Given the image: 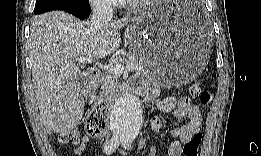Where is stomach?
I'll list each match as a JSON object with an SVG mask.
<instances>
[{
    "mask_svg": "<svg viewBox=\"0 0 261 156\" xmlns=\"http://www.w3.org/2000/svg\"><path fill=\"white\" fill-rule=\"evenodd\" d=\"M190 2H157L132 19L131 46L142 55L162 84L194 80L211 54L207 30L185 16Z\"/></svg>",
    "mask_w": 261,
    "mask_h": 156,
    "instance_id": "0dacf381",
    "label": "stomach"
}]
</instances>
